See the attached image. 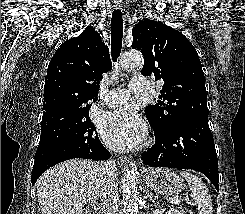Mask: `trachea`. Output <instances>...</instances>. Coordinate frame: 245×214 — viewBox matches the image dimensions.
Wrapping results in <instances>:
<instances>
[{
    "label": "trachea",
    "mask_w": 245,
    "mask_h": 214,
    "mask_svg": "<svg viewBox=\"0 0 245 214\" xmlns=\"http://www.w3.org/2000/svg\"><path fill=\"white\" fill-rule=\"evenodd\" d=\"M123 19L122 12L116 9L111 19V54L114 62L117 61L122 49Z\"/></svg>",
    "instance_id": "trachea-1"
}]
</instances>
